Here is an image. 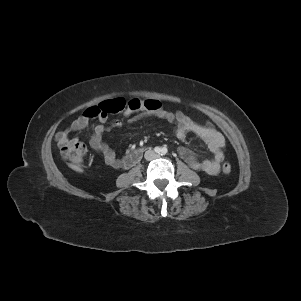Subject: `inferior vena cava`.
<instances>
[{"mask_svg": "<svg viewBox=\"0 0 301 301\" xmlns=\"http://www.w3.org/2000/svg\"><path fill=\"white\" fill-rule=\"evenodd\" d=\"M157 154L153 150H147L144 154V158L148 161L157 158Z\"/></svg>", "mask_w": 301, "mask_h": 301, "instance_id": "obj_1", "label": "inferior vena cava"}]
</instances>
